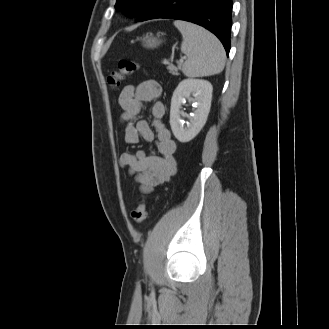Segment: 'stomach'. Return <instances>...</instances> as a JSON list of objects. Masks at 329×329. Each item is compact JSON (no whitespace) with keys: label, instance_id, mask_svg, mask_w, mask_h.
<instances>
[{"label":"stomach","instance_id":"stomach-1","mask_svg":"<svg viewBox=\"0 0 329 329\" xmlns=\"http://www.w3.org/2000/svg\"><path fill=\"white\" fill-rule=\"evenodd\" d=\"M142 41H143V46L147 48H156L162 42L161 40H159L156 37H153L152 35L146 36L145 38L142 39Z\"/></svg>","mask_w":329,"mask_h":329}]
</instances>
